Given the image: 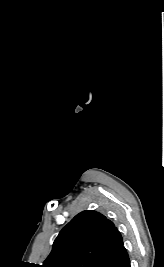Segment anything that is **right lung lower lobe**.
<instances>
[{
  "mask_svg": "<svg viewBox=\"0 0 164 267\" xmlns=\"http://www.w3.org/2000/svg\"><path fill=\"white\" fill-rule=\"evenodd\" d=\"M99 267H130V260L123 247L114 255L105 260Z\"/></svg>",
  "mask_w": 164,
  "mask_h": 267,
  "instance_id": "1",
  "label": "right lung lower lobe"
}]
</instances>
